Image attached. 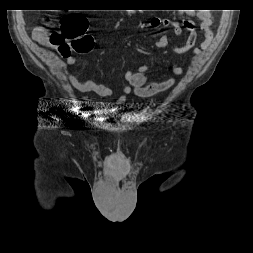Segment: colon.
Returning <instances> with one entry per match:
<instances>
[{"label":"colon","mask_w":253,"mask_h":253,"mask_svg":"<svg viewBox=\"0 0 253 253\" xmlns=\"http://www.w3.org/2000/svg\"><path fill=\"white\" fill-rule=\"evenodd\" d=\"M88 20L80 14L66 15L61 20L60 30L52 33L49 41L58 47L59 53L70 56L72 53L89 52L94 46L93 37L87 33Z\"/></svg>","instance_id":"5ec220e1"}]
</instances>
